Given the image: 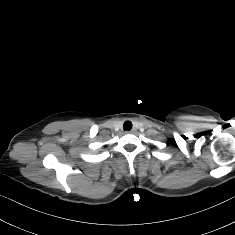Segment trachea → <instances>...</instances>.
I'll list each match as a JSON object with an SVG mask.
<instances>
[{"instance_id": "trachea-1", "label": "trachea", "mask_w": 235, "mask_h": 235, "mask_svg": "<svg viewBox=\"0 0 235 235\" xmlns=\"http://www.w3.org/2000/svg\"><path fill=\"white\" fill-rule=\"evenodd\" d=\"M124 130H131L132 129V123L130 121H126L123 125Z\"/></svg>"}]
</instances>
